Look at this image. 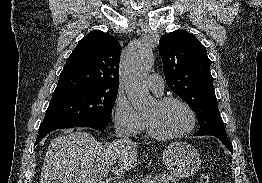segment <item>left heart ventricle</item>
<instances>
[{
    "label": "left heart ventricle",
    "instance_id": "obj_1",
    "mask_svg": "<svg viewBox=\"0 0 262 183\" xmlns=\"http://www.w3.org/2000/svg\"><path fill=\"white\" fill-rule=\"evenodd\" d=\"M145 117L158 132L168 135L186 130L191 123L189 112L178 103H171L165 107H160L156 103Z\"/></svg>",
    "mask_w": 262,
    "mask_h": 183
}]
</instances>
